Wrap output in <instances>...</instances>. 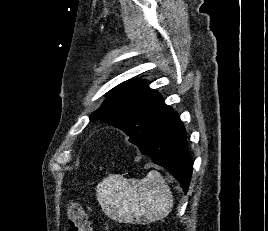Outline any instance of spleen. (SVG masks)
Wrapping results in <instances>:
<instances>
[{
	"label": "spleen",
	"instance_id": "spleen-1",
	"mask_svg": "<svg viewBox=\"0 0 268 231\" xmlns=\"http://www.w3.org/2000/svg\"><path fill=\"white\" fill-rule=\"evenodd\" d=\"M97 199L111 219L135 224H148L165 218L173 196L164 178L151 170L141 180L109 175L97 185Z\"/></svg>",
	"mask_w": 268,
	"mask_h": 231
}]
</instances>
